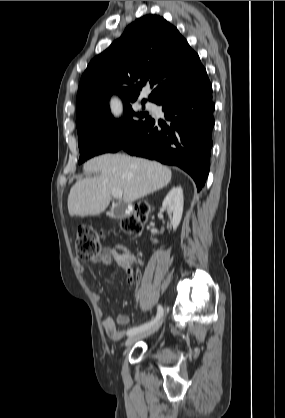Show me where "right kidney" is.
Masks as SVG:
<instances>
[{"mask_svg": "<svg viewBox=\"0 0 285 418\" xmlns=\"http://www.w3.org/2000/svg\"><path fill=\"white\" fill-rule=\"evenodd\" d=\"M163 209H166L169 214H172L171 224L176 230L180 224L183 213V190L180 186L173 187L162 204Z\"/></svg>", "mask_w": 285, "mask_h": 418, "instance_id": "right-kidney-1", "label": "right kidney"}]
</instances>
